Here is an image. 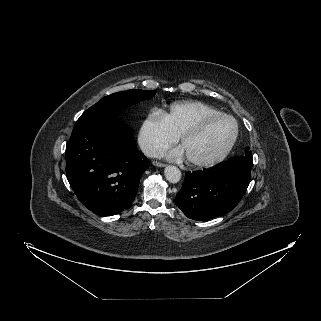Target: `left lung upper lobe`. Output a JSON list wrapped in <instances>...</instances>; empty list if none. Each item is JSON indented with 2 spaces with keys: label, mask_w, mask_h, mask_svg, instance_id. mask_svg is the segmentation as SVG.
<instances>
[{
  "label": "left lung upper lobe",
  "mask_w": 321,
  "mask_h": 321,
  "mask_svg": "<svg viewBox=\"0 0 321 321\" xmlns=\"http://www.w3.org/2000/svg\"><path fill=\"white\" fill-rule=\"evenodd\" d=\"M244 155L252 157V155H251V151H250L249 149H246V151H245V154H244Z\"/></svg>",
  "instance_id": "left-lung-upper-lobe-1"
}]
</instances>
